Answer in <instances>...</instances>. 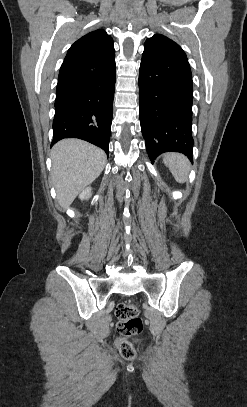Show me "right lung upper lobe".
I'll return each instance as SVG.
<instances>
[{"instance_id":"right-lung-upper-lobe-1","label":"right lung upper lobe","mask_w":247,"mask_h":407,"mask_svg":"<svg viewBox=\"0 0 247 407\" xmlns=\"http://www.w3.org/2000/svg\"><path fill=\"white\" fill-rule=\"evenodd\" d=\"M115 57L113 40L104 29H98L81 37L68 50L61 66L57 87L82 78L93 68Z\"/></svg>"}]
</instances>
